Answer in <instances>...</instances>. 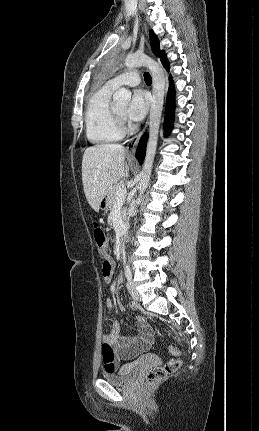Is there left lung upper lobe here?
<instances>
[{
  "label": "left lung upper lobe",
  "mask_w": 259,
  "mask_h": 431,
  "mask_svg": "<svg viewBox=\"0 0 259 431\" xmlns=\"http://www.w3.org/2000/svg\"><path fill=\"white\" fill-rule=\"evenodd\" d=\"M150 42H151L152 52L156 56L160 57L163 51H160L158 37L154 34L153 31H150Z\"/></svg>",
  "instance_id": "1"
}]
</instances>
